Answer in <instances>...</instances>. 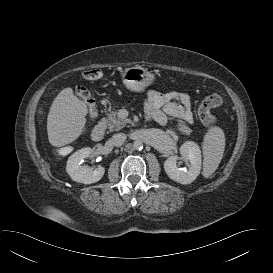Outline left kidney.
Wrapping results in <instances>:
<instances>
[{"label":"left kidney","mask_w":273,"mask_h":273,"mask_svg":"<svg viewBox=\"0 0 273 273\" xmlns=\"http://www.w3.org/2000/svg\"><path fill=\"white\" fill-rule=\"evenodd\" d=\"M180 155V157L177 155L170 156L164 162V170L173 181L180 184H190L200 174V148L195 142L187 141L180 147ZM178 160L186 162V167L178 168Z\"/></svg>","instance_id":"1"}]
</instances>
